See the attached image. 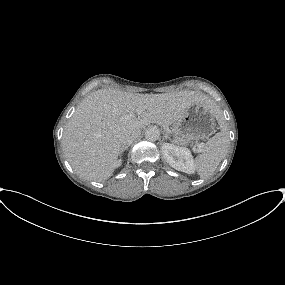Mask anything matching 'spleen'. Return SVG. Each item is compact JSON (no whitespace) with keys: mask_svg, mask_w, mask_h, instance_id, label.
Wrapping results in <instances>:
<instances>
[{"mask_svg":"<svg viewBox=\"0 0 285 285\" xmlns=\"http://www.w3.org/2000/svg\"><path fill=\"white\" fill-rule=\"evenodd\" d=\"M217 118L221 127V132L216 133L204 145L202 153L195 159V169L201 178H205L218 168L220 162L226 155L229 147V136L227 127L223 121L222 114L217 111Z\"/></svg>","mask_w":285,"mask_h":285,"instance_id":"spleen-1","label":"spleen"}]
</instances>
